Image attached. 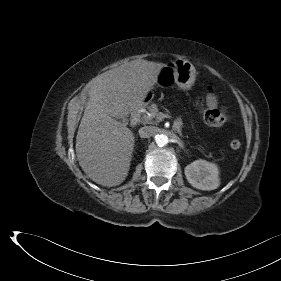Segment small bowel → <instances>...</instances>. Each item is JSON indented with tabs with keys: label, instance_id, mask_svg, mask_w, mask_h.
<instances>
[{
	"label": "small bowel",
	"instance_id": "obj_1",
	"mask_svg": "<svg viewBox=\"0 0 281 281\" xmlns=\"http://www.w3.org/2000/svg\"><path fill=\"white\" fill-rule=\"evenodd\" d=\"M207 108H217L218 99L214 94H208L203 102ZM202 105V104H201Z\"/></svg>",
	"mask_w": 281,
	"mask_h": 281
}]
</instances>
